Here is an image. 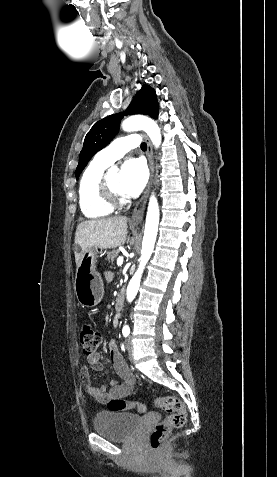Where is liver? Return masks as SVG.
<instances>
[{"label": "liver", "instance_id": "6515ba94", "mask_svg": "<svg viewBox=\"0 0 277 477\" xmlns=\"http://www.w3.org/2000/svg\"><path fill=\"white\" fill-rule=\"evenodd\" d=\"M127 221L125 216H115L81 222L75 233V243L81 248L75 252L76 264L89 248L111 249L129 242Z\"/></svg>", "mask_w": 277, "mask_h": 477}]
</instances>
